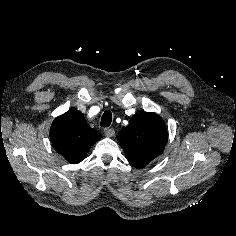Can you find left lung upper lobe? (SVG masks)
<instances>
[{"label":"left lung upper lobe","instance_id":"1","mask_svg":"<svg viewBox=\"0 0 236 236\" xmlns=\"http://www.w3.org/2000/svg\"><path fill=\"white\" fill-rule=\"evenodd\" d=\"M117 139L127 160L136 168H144L163 152L168 134L157 114L142 112L131 117L129 125L118 134Z\"/></svg>","mask_w":236,"mask_h":236}]
</instances>
